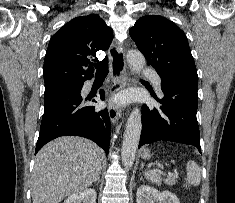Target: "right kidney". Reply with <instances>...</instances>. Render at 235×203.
Listing matches in <instances>:
<instances>
[{"instance_id":"right-kidney-1","label":"right kidney","mask_w":235,"mask_h":203,"mask_svg":"<svg viewBox=\"0 0 235 203\" xmlns=\"http://www.w3.org/2000/svg\"><path fill=\"white\" fill-rule=\"evenodd\" d=\"M97 194L94 189H86L81 192L72 194L64 203H96Z\"/></svg>"}]
</instances>
